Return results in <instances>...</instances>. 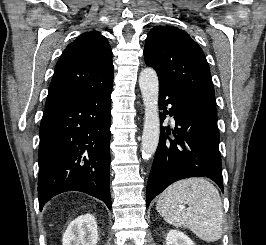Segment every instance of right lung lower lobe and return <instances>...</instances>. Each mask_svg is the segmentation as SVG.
Instances as JSON below:
<instances>
[{"mask_svg":"<svg viewBox=\"0 0 266 245\" xmlns=\"http://www.w3.org/2000/svg\"><path fill=\"white\" fill-rule=\"evenodd\" d=\"M112 86L84 91L45 111L40 125L39 208L53 196L80 191L111 209Z\"/></svg>","mask_w":266,"mask_h":245,"instance_id":"right-lung-lower-lobe-1","label":"right lung lower lobe"}]
</instances>
